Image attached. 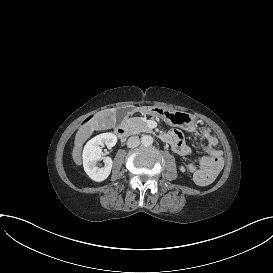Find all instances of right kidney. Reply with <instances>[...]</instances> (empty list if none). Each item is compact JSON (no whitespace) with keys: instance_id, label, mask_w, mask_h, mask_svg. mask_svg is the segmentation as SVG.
Wrapping results in <instances>:
<instances>
[{"instance_id":"1","label":"right kidney","mask_w":273,"mask_h":273,"mask_svg":"<svg viewBox=\"0 0 273 273\" xmlns=\"http://www.w3.org/2000/svg\"><path fill=\"white\" fill-rule=\"evenodd\" d=\"M117 142V137L113 133H103L89 140L83 149V167L86 174L94 181L101 182L105 180L112 169V159L102 157L100 146L106 144L107 147H113ZM103 160L105 165L102 168L97 166V162Z\"/></svg>"}]
</instances>
